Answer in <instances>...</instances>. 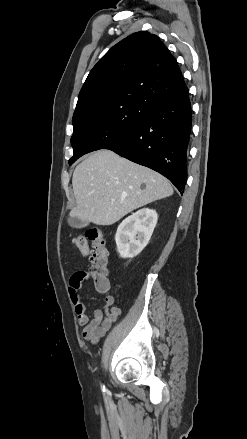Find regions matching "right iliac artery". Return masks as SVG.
Instances as JSON below:
<instances>
[{"label": "right iliac artery", "instance_id": "obj_1", "mask_svg": "<svg viewBox=\"0 0 247 439\" xmlns=\"http://www.w3.org/2000/svg\"><path fill=\"white\" fill-rule=\"evenodd\" d=\"M102 390H103L104 392L106 391L105 386H102Z\"/></svg>", "mask_w": 247, "mask_h": 439}]
</instances>
